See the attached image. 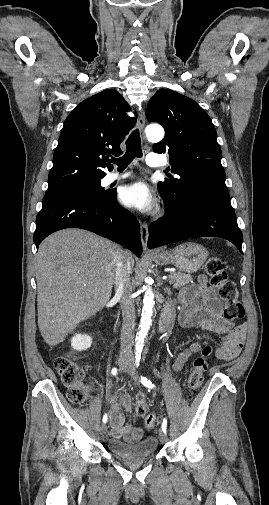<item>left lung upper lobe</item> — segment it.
<instances>
[{
    "instance_id": "obj_1",
    "label": "left lung upper lobe",
    "mask_w": 269,
    "mask_h": 505,
    "mask_svg": "<svg viewBox=\"0 0 269 505\" xmlns=\"http://www.w3.org/2000/svg\"><path fill=\"white\" fill-rule=\"evenodd\" d=\"M146 118L164 127L165 137L153 151L167 153L171 171L178 175L158 183L162 198L183 205L186 193L195 187L228 192L215 127L194 100L160 89L148 103Z\"/></svg>"
}]
</instances>
